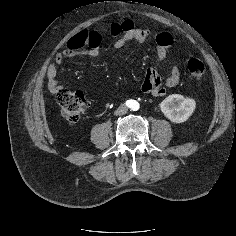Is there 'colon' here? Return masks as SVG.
Listing matches in <instances>:
<instances>
[{
	"instance_id": "colon-1",
	"label": "colon",
	"mask_w": 236,
	"mask_h": 236,
	"mask_svg": "<svg viewBox=\"0 0 236 236\" xmlns=\"http://www.w3.org/2000/svg\"><path fill=\"white\" fill-rule=\"evenodd\" d=\"M187 70L194 79H201L205 74V65L197 58H190L187 61ZM55 95L63 119L69 123H76L87 108L85 96L64 87L59 88Z\"/></svg>"
}]
</instances>
